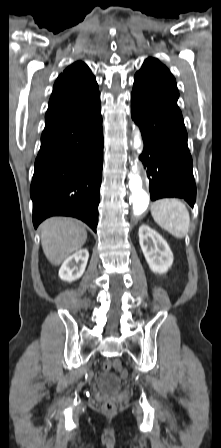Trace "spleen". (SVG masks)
Listing matches in <instances>:
<instances>
[{
  "label": "spleen",
  "mask_w": 221,
  "mask_h": 448,
  "mask_svg": "<svg viewBox=\"0 0 221 448\" xmlns=\"http://www.w3.org/2000/svg\"><path fill=\"white\" fill-rule=\"evenodd\" d=\"M154 221L175 238H184L190 227V215L186 206L177 199H160L151 206Z\"/></svg>",
  "instance_id": "spleen-1"
}]
</instances>
